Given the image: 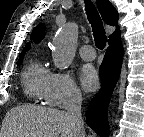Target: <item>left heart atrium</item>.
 Segmentation results:
<instances>
[{
    "label": "left heart atrium",
    "mask_w": 144,
    "mask_h": 137,
    "mask_svg": "<svg viewBox=\"0 0 144 137\" xmlns=\"http://www.w3.org/2000/svg\"><path fill=\"white\" fill-rule=\"evenodd\" d=\"M80 80L85 90H95L99 85V78L94 66L89 64L83 65L80 70Z\"/></svg>",
    "instance_id": "obj_1"
}]
</instances>
